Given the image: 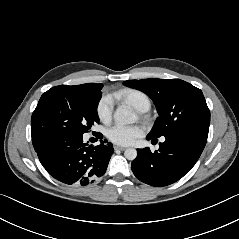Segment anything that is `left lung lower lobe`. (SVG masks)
Listing matches in <instances>:
<instances>
[{
    "mask_svg": "<svg viewBox=\"0 0 239 239\" xmlns=\"http://www.w3.org/2000/svg\"><path fill=\"white\" fill-rule=\"evenodd\" d=\"M150 139L153 137L147 136V140ZM206 142L207 138L193 134L165 135V141L159 143L158 151L152 153L148 147L137 149V157L131 165L132 171L146 184L156 187L170 185L190 171Z\"/></svg>",
    "mask_w": 239,
    "mask_h": 239,
    "instance_id": "0a47b994",
    "label": "left lung lower lobe"
}]
</instances>
